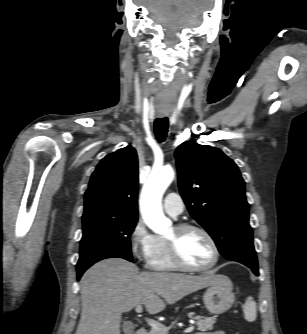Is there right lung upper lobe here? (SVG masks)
<instances>
[{"label": "right lung upper lobe", "instance_id": "cb5924a9", "mask_svg": "<svg viewBox=\"0 0 307 334\" xmlns=\"http://www.w3.org/2000/svg\"><path fill=\"white\" fill-rule=\"evenodd\" d=\"M138 159L127 146L107 155L93 172L82 218L105 216L137 219Z\"/></svg>", "mask_w": 307, "mask_h": 334}]
</instances>
